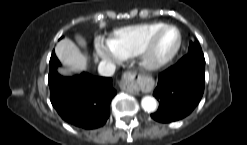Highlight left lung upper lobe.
I'll list each match as a JSON object with an SVG mask.
<instances>
[{"mask_svg":"<svg viewBox=\"0 0 247 145\" xmlns=\"http://www.w3.org/2000/svg\"><path fill=\"white\" fill-rule=\"evenodd\" d=\"M191 51H202V49L197 42H195V43L191 42L189 52H191Z\"/></svg>","mask_w":247,"mask_h":145,"instance_id":"left-lung-upper-lobe-1","label":"left lung upper lobe"}]
</instances>
